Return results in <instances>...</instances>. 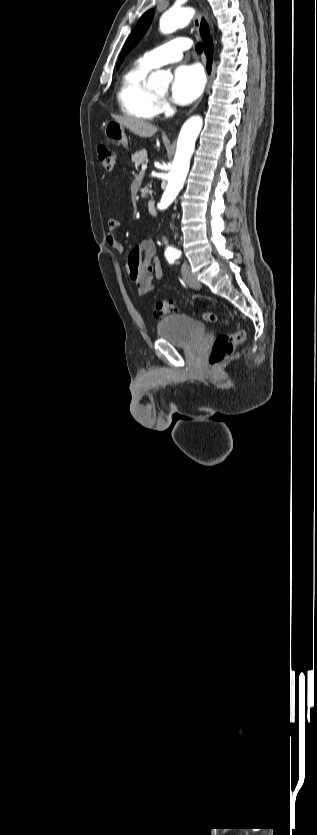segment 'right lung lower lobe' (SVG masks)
Instances as JSON below:
<instances>
[{
	"label": "right lung lower lobe",
	"instance_id": "obj_1",
	"mask_svg": "<svg viewBox=\"0 0 317 835\" xmlns=\"http://www.w3.org/2000/svg\"><path fill=\"white\" fill-rule=\"evenodd\" d=\"M201 36H202L203 41H204L205 54H206L207 59H208L207 60V69L210 70L211 69V62H212V54H213V43H212V39L209 35L208 28L204 30V32L201 34Z\"/></svg>",
	"mask_w": 317,
	"mask_h": 835
}]
</instances>
